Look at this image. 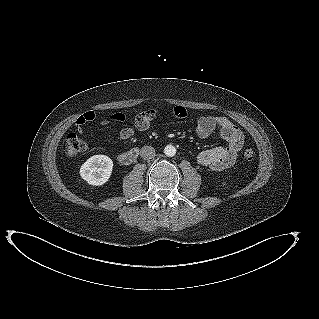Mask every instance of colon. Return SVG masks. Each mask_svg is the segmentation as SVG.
<instances>
[{
	"instance_id": "colon-1",
	"label": "colon",
	"mask_w": 319,
	"mask_h": 319,
	"mask_svg": "<svg viewBox=\"0 0 319 319\" xmlns=\"http://www.w3.org/2000/svg\"><path fill=\"white\" fill-rule=\"evenodd\" d=\"M87 118L90 120L93 118V114L90 112L87 113ZM114 118H117L119 120H123L124 116L122 114H119L117 116H114ZM64 146H65V153L68 157H75L84 151H86L88 145L87 142L81 139L79 136H77L74 133L68 134L64 139ZM255 150L250 147H246L243 150V157L247 161H252L255 158Z\"/></svg>"
}]
</instances>
